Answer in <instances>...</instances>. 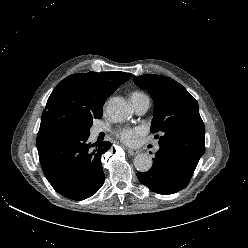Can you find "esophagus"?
Here are the masks:
<instances>
[{"mask_svg":"<svg viewBox=\"0 0 248 248\" xmlns=\"http://www.w3.org/2000/svg\"><path fill=\"white\" fill-rule=\"evenodd\" d=\"M127 152H128L129 155L133 156V155H136L139 151L131 149V148H128Z\"/></svg>","mask_w":248,"mask_h":248,"instance_id":"obj_1","label":"esophagus"}]
</instances>
